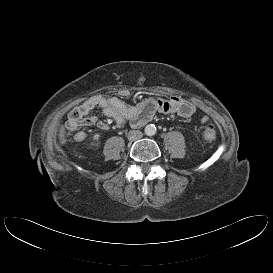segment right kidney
I'll return each mask as SVG.
<instances>
[{"label": "right kidney", "mask_w": 273, "mask_h": 273, "mask_svg": "<svg viewBox=\"0 0 273 273\" xmlns=\"http://www.w3.org/2000/svg\"><path fill=\"white\" fill-rule=\"evenodd\" d=\"M99 138H100V134H98V133L94 134V136H93L94 141L99 140Z\"/></svg>", "instance_id": "obj_1"}]
</instances>
